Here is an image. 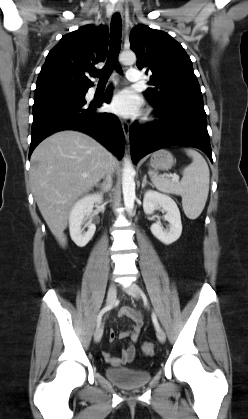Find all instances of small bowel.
Listing matches in <instances>:
<instances>
[{
    "mask_svg": "<svg viewBox=\"0 0 248 419\" xmlns=\"http://www.w3.org/2000/svg\"><path fill=\"white\" fill-rule=\"evenodd\" d=\"M119 317L127 318L132 323L127 330L120 331L118 337L120 339L128 340V343L123 348L122 353L119 357L113 356L109 352H104L103 356L105 361L114 366L121 367L132 362L136 356V347L135 343L138 341L140 331L143 325V316L142 313L131 307H122L118 312ZM117 334L113 330H109L108 339L110 341L115 340Z\"/></svg>",
    "mask_w": 248,
    "mask_h": 419,
    "instance_id": "1",
    "label": "small bowel"
}]
</instances>
